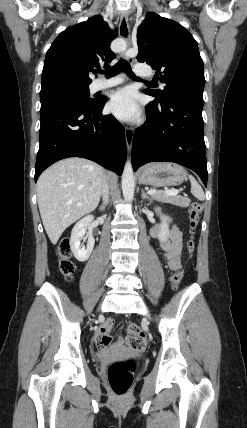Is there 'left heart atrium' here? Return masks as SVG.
Here are the masks:
<instances>
[{
  "instance_id": "39dd6f15",
  "label": "left heart atrium",
  "mask_w": 247,
  "mask_h": 428,
  "mask_svg": "<svg viewBox=\"0 0 247 428\" xmlns=\"http://www.w3.org/2000/svg\"><path fill=\"white\" fill-rule=\"evenodd\" d=\"M109 109L115 116L123 120H135L140 113L135 94L129 88L119 90L112 96Z\"/></svg>"
}]
</instances>
